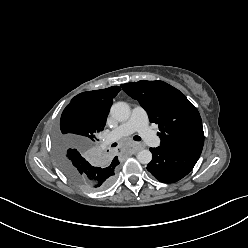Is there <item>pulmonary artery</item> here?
<instances>
[{
	"instance_id": "obj_1",
	"label": "pulmonary artery",
	"mask_w": 248,
	"mask_h": 248,
	"mask_svg": "<svg viewBox=\"0 0 248 248\" xmlns=\"http://www.w3.org/2000/svg\"><path fill=\"white\" fill-rule=\"evenodd\" d=\"M134 132H138L146 142L151 143L154 146L160 145V139L154 134L149 126L146 111L140 106L134 107L130 118L107 133L104 136V140L106 143H111L127 137Z\"/></svg>"
}]
</instances>
